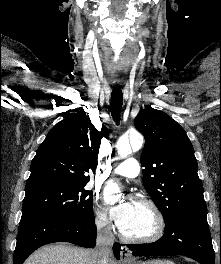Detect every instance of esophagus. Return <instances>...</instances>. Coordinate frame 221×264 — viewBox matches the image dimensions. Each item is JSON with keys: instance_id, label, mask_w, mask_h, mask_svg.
Here are the masks:
<instances>
[{"instance_id": "obj_1", "label": "esophagus", "mask_w": 221, "mask_h": 264, "mask_svg": "<svg viewBox=\"0 0 221 264\" xmlns=\"http://www.w3.org/2000/svg\"><path fill=\"white\" fill-rule=\"evenodd\" d=\"M120 260L123 264H129L134 261L131 252L127 246H121Z\"/></svg>"}]
</instances>
